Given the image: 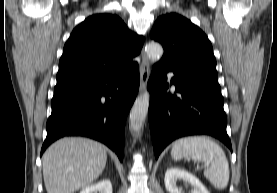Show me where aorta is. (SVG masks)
<instances>
[{
    "label": "aorta",
    "instance_id": "aorta-1",
    "mask_svg": "<svg viewBox=\"0 0 277 193\" xmlns=\"http://www.w3.org/2000/svg\"><path fill=\"white\" fill-rule=\"evenodd\" d=\"M151 62H157L163 55V48L159 43L151 42L145 48ZM150 96L147 91L140 95L134 102L130 112L129 126L131 131L139 135L146 120L149 108Z\"/></svg>",
    "mask_w": 277,
    "mask_h": 193
}]
</instances>
